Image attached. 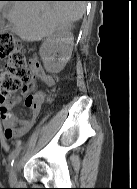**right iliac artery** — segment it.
I'll list each match as a JSON object with an SVG mask.
<instances>
[{
    "mask_svg": "<svg viewBox=\"0 0 137 189\" xmlns=\"http://www.w3.org/2000/svg\"><path fill=\"white\" fill-rule=\"evenodd\" d=\"M21 150V147L18 146L15 150L12 151L11 155L9 156V169H11V167L13 166L14 160L15 158L19 155Z\"/></svg>",
    "mask_w": 137,
    "mask_h": 189,
    "instance_id": "right-iliac-artery-1",
    "label": "right iliac artery"
}]
</instances>
